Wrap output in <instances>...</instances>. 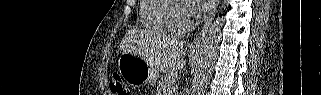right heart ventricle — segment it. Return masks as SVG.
<instances>
[{
  "mask_svg": "<svg viewBox=\"0 0 321 95\" xmlns=\"http://www.w3.org/2000/svg\"><path fill=\"white\" fill-rule=\"evenodd\" d=\"M173 0H143L140 5V18L142 24L151 32L169 34L173 28L167 16Z\"/></svg>",
  "mask_w": 321,
  "mask_h": 95,
  "instance_id": "obj_1",
  "label": "right heart ventricle"
}]
</instances>
